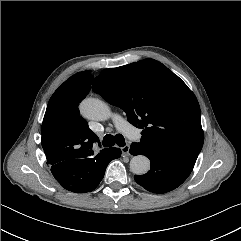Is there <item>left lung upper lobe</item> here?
Masks as SVG:
<instances>
[{"instance_id":"1","label":"left lung upper lobe","mask_w":241,"mask_h":241,"mask_svg":"<svg viewBox=\"0 0 241 241\" xmlns=\"http://www.w3.org/2000/svg\"><path fill=\"white\" fill-rule=\"evenodd\" d=\"M92 90L123 109L127 120L143 130L136 145L195 165L204 142L199 103L162 63L149 58L105 69L94 79Z\"/></svg>"}]
</instances>
